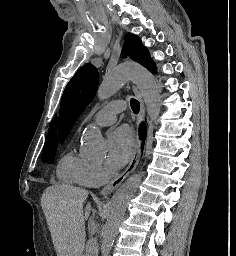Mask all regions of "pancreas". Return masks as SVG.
<instances>
[{
    "mask_svg": "<svg viewBox=\"0 0 236 256\" xmlns=\"http://www.w3.org/2000/svg\"><path fill=\"white\" fill-rule=\"evenodd\" d=\"M90 224H98V219H91ZM89 233H90V236H93V234H97L98 233V227L97 226H90L89 227ZM85 246L89 250L88 251L89 254H94V252H95L94 250L96 249V246H97L96 238L88 239V242L85 243Z\"/></svg>",
    "mask_w": 236,
    "mask_h": 256,
    "instance_id": "obj_1",
    "label": "pancreas"
}]
</instances>
